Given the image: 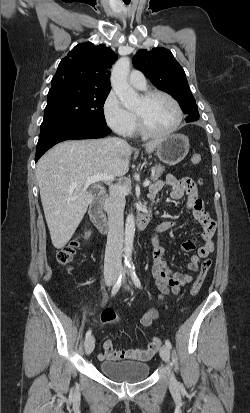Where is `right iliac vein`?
Here are the masks:
<instances>
[{"mask_svg": "<svg viewBox=\"0 0 250 413\" xmlns=\"http://www.w3.org/2000/svg\"><path fill=\"white\" fill-rule=\"evenodd\" d=\"M116 277H117L116 273L112 272V273L107 274L105 277V282L107 286L113 285L116 280ZM94 346H95V339L93 336H90L89 338L86 339L84 343L85 353L87 355L91 354L94 349Z\"/></svg>", "mask_w": 250, "mask_h": 413, "instance_id": "1", "label": "right iliac vein"}]
</instances>
